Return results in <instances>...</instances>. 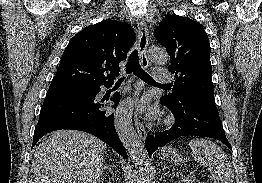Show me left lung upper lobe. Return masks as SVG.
<instances>
[{
	"mask_svg": "<svg viewBox=\"0 0 262 183\" xmlns=\"http://www.w3.org/2000/svg\"><path fill=\"white\" fill-rule=\"evenodd\" d=\"M156 39L170 55L169 71L175 74L172 93L161 102L215 106L209 39L197 21L168 15L155 30Z\"/></svg>",
	"mask_w": 262,
	"mask_h": 183,
	"instance_id": "1",
	"label": "left lung upper lobe"
}]
</instances>
